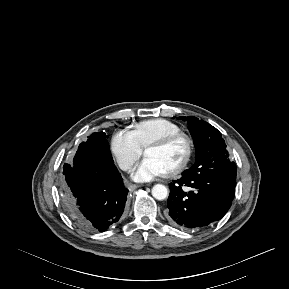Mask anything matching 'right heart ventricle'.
I'll list each match as a JSON object with an SVG mask.
<instances>
[{
  "label": "right heart ventricle",
  "mask_w": 289,
  "mask_h": 289,
  "mask_svg": "<svg viewBox=\"0 0 289 289\" xmlns=\"http://www.w3.org/2000/svg\"><path fill=\"white\" fill-rule=\"evenodd\" d=\"M132 131L142 148L147 147L155 140L181 132L175 123L163 118L141 121L134 126Z\"/></svg>",
  "instance_id": "right-heart-ventricle-1"
}]
</instances>
